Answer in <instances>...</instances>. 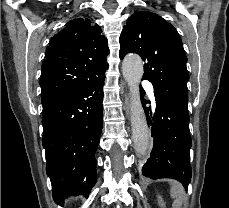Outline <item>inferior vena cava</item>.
Returning <instances> with one entry per match:
<instances>
[{"label": "inferior vena cava", "instance_id": "obj_1", "mask_svg": "<svg viewBox=\"0 0 229 208\" xmlns=\"http://www.w3.org/2000/svg\"><path fill=\"white\" fill-rule=\"evenodd\" d=\"M139 126H132V132L135 134V132H138Z\"/></svg>", "mask_w": 229, "mask_h": 208}]
</instances>
